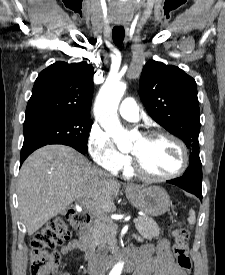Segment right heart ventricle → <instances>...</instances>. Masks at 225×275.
Returning a JSON list of instances; mask_svg holds the SVG:
<instances>
[{
  "label": "right heart ventricle",
  "mask_w": 225,
  "mask_h": 275,
  "mask_svg": "<svg viewBox=\"0 0 225 275\" xmlns=\"http://www.w3.org/2000/svg\"><path fill=\"white\" fill-rule=\"evenodd\" d=\"M123 173L126 176H132L133 175V171L130 168L123 169Z\"/></svg>",
  "instance_id": "1"
}]
</instances>
